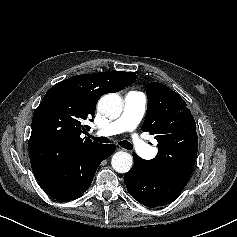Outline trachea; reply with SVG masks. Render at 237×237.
Wrapping results in <instances>:
<instances>
[{"mask_svg":"<svg viewBox=\"0 0 237 237\" xmlns=\"http://www.w3.org/2000/svg\"><path fill=\"white\" fill-rule=\"evenodd\" d=\"M90 138H92L93 140L100 142V143H109L110 140L107 137H93L90 136ZM120 146L127 149V150H132L133 146L130 142L128 141H120L119 142Z\"/></svg>","mask_w":237,"mask_h":237,"instance_id":"obj_1","label":"trachea"}]
</instances>
